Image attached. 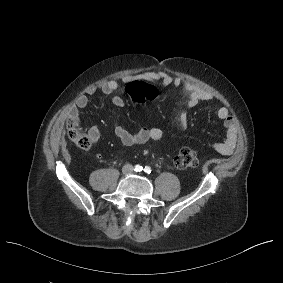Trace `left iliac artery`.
Instances as JSON below:
<instances>
[{"instance_id": "44dca946", "label": "left iliac artery", "mask_w": 283, "mask_h": 283, "mask_svg": "<svg viewBox=\"0 0 283 283\" xmlns=\"http://www.w3.org/2000/svg\"><path fill=\"white\" fill-rule=\"evenodd\" d=\"M144 172L147 173V174H150L151 173V168L149 166H146L144 168Z\"/></svg>"}]
</instances>
